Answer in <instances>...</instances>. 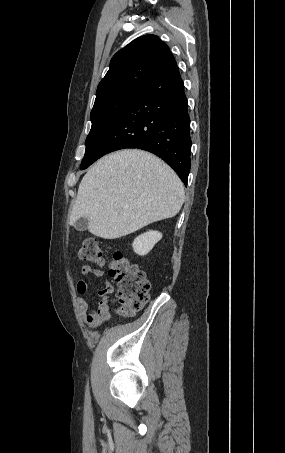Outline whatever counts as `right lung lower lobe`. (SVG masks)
<instances>
[{
  "label": "right lung lower lobe",
  "instance_id": "98d812e1",
  "mask_svg": "<svg viewBox=\"0 0 285 453\" xmlns=\"http://www.w3.org/2000/svg\"><path fill=\"white\" fill-rule=\"evenodd\" d=\"M123 148L154 153L187 185L191 138L188 103L177 65L147 81L126 106L95 161Z\"/></svg>",
  "mask_w": 285,
  "mask_h": 453
}]
</instances>
